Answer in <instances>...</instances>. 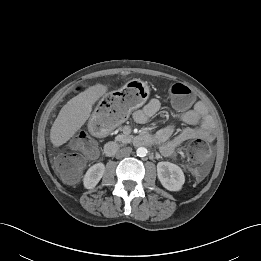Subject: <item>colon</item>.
Returning a JSON list of instances; mask_svg holds the SVG:
<instances>
[{"label":"colon","instance_id":"obj_1","mask_svg":"<svg viewBox=\"0 0 261 261\" xmlns=\"http://www.w3.org/2000/svg\"><path fill=\"white\" fill-rule=\"evenodd\" d=\"M169 93L173 102L180 108H187L192 101L191 90L181 83L173 84ZM122 101L119 95H112L106 98V103L109 106H118ZM125 112L122 108L108 116L101 114L93 124L95 127L101 129V133H106L111 126L123 120ZM96 139L88 132L82 131L71 142L72 152H65L58 155L54 160V166L63 181L67 184L75 183L84 167L85 159L91 158L97 153ZM188 154L193 161L206 160L209 156L208 145L201 140H194L188 147Z\"/></svg>","mask_w":261,"mask_h":261}]
</instances>
